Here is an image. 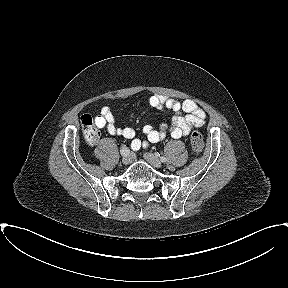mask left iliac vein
I'll return each mask as SVG.
<instances>
[{
  "mask_svg": "<svg viewBox=\"0 0 288 288\" xmlns=\"http://www.w3.org/2000/svg\"><path fill=\"white\" fill-rule=\"evenodd\" d=\"M144 157L152 166L156 168H160L162 166V162L157 155L153 153H145Z\"/></svg>",
  "mask_w": 288,
  "mask_h": 288,
  "instance_id": "1",
  "label": "left iliac vein"
}]
</instances>
